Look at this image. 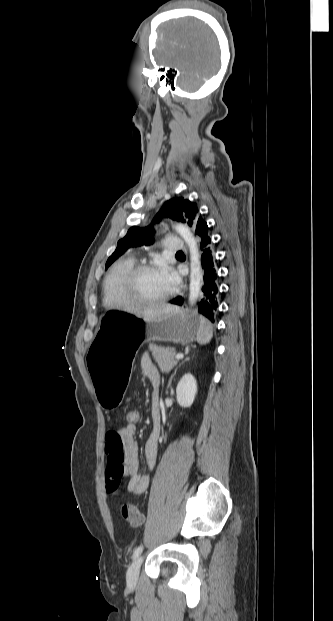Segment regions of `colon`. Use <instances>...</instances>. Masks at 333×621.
Here are the masks:
<instances>
[{
    "mask_svg": "<svg viewBox=\"0 0 333 621\" xmlns=\"http://www.w3.org/2000/svg\"><path fill=\"white\" fill-rule=\"evenodd\" d=\"M126 421L128 424L136 425L140 422L141 413L134 407H129L126 412ZM122 515L124 519L133 527L140 526L143 522V514L133 504H125L122 506Z\"/></svg>",
    "mask_w": 333,
    "mask_h": 621,
    "instance_id": "5ec220e1",
    "label": "colon"
}]
</instances>
